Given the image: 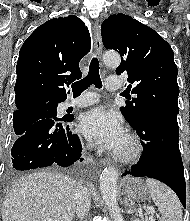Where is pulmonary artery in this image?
I'll use <instances>...</instances> for the list:
<instances>
[{
  "mask_svg": "<svg viewBox=\"0 0 190 221\" xmlns=\"http://www.w3.org/2000/svg\"><path fill=\"white\" fill-rule=\"evenodd\" d=\"M106 88L109 91H116L121 88V81L118 77H109L106 80ZM98 96L94 93H87L75 100L65 102V107L83 108L95 104Z\"/></svg>",
  "mask_w": 190,
  "mask_h": 221,
  "instance_id": "e3ab8cb5",
  "label": "pulmonary artery"
}]
</instances>
